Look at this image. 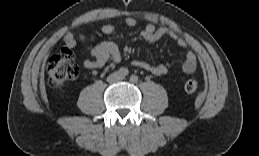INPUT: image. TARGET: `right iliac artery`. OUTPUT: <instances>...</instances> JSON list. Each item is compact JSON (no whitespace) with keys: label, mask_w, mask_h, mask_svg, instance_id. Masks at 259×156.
I'll use <instances>...</instances> for the list:
<instances>
[{"label":"right iliac artery","mask_w":259,"mask_h":156,"mask_svg":"<svg viewBox=\"0 0 259 156\" xmlns=\"http://www.w3.org/2000/svg\"><path fill=\"white\" fill-rule=\"evenodd\" d=\"M118 73H119L120 76L125 77V76H127V75L129 74V71H128L127 68L121 67V68L118 70Z\"/></svg>","instance_id":"right-iliac-artery-1"}]
</instances>
